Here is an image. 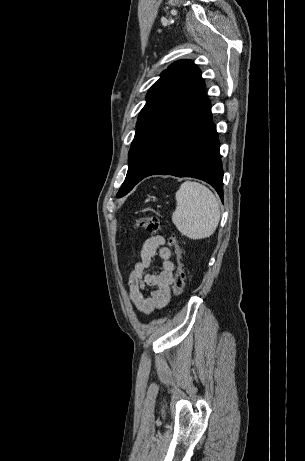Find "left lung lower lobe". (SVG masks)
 I'll list each match as a JSON object with an SVG mask.
<instances>
[{
	"label": "left lung lower lobe",
	"mask_w": 305,
	"mask_h": 461,
	"mask_svg": "<svg viewBox=\"0 0 305 461\" xmlns=\"http://www.w3.org/2000/svg\"><path fill=\"white\" fill-rule=\"evenodd\" d=\"M158 174L208 181L223 200L219 140L203 80L155 134L150 165L136 184Z\"/></svg>",
	"instance_id": "1"
}]
</instances>
